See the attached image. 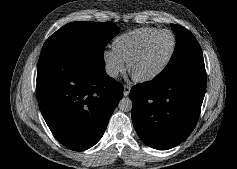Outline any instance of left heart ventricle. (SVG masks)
I'll return each mask as SVG.
<instances>
[{
	"mask_svg": "<svg viewBox=\"0 0 237 169\" xmlns=\"http://www.w3.org/2000/svg\"><path fill=\"white\" fill-rule=\"evenodd\" d=\"M172 38L168 33L157 36L145 49L142 56L133 64L136 75H145L158 68L171 51Z\"/></svg>",
	"mask_w": 237,
	"mask_h": 169,
	"instance_id": "1",
	"label": "left heart ventricle"
}]
</instances>
